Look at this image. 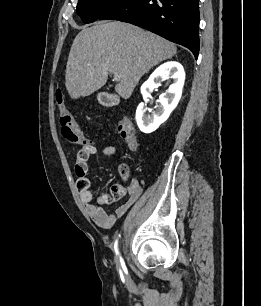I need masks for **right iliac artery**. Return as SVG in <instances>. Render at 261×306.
Listing matches in <instances>:
<instances>
[{"label":"right iliac artery","mask_w":261,"mask_h":306,"mask_svg":"<svg viewBox=\"0 0 261 306\" xmlns=\"http://www.w3.org/2000/svg\"><path fill=\"white\" fill-rule=\"evenodd\" d=\"M117 246H118V240L115 241L114 248H115V252H116V255H117V259H118L119 263L122 265L123 269L125 270V264H124L123 259L120 256V253L118 251Z\"/></svg>","instance_id":"82829eb1"}]
</instances>
